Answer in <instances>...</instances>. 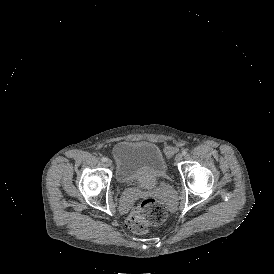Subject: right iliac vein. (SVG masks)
I'll list each match as a JSON object with an SVG mask.
<instances>
[{
	"instance_id": "63e3f726",
	"label": "right iliac vein",
	"mask_w": 274,
	"mask_h": 274,
	"mask_svg": "<svg viewBox=\"0 0 274 274\" xmlns=\"http://www.w3.org/2000/svg\"><path fill=\"white\" fill-rule=\"evenodd\" d=\"M107 167H111L112 166V161L110 159H107L105 162Z\"/></svg>"
}]
</instances>
